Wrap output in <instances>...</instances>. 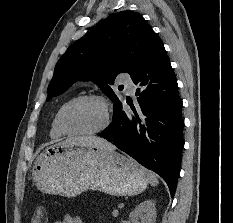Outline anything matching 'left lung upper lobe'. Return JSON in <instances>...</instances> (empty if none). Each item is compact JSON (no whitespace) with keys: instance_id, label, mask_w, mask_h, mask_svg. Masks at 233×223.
<instances>
[{"instance_id":"obj_1","label":"left lung upper lobe","mask_w":233,"mask_h":223,"mask_svg":"<svg viewBox=\"0 0 233 223\" xmlns=\"http://www.w3.org/2000/svg\"><path fill=\"white\" fill-rule=\"evenodd\" d=\"M151 26L133 11H121L102 21L71 45L55 66L47 101L66 91L77 80L97 77L96 83L114 101V114L122 106L108 84L119 73H137L155 41Z\"/></svg>"}]
</instances>
